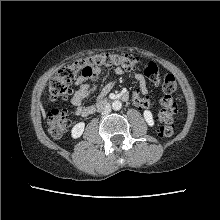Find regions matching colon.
<instances>
[{
  "mask_svg": "<svg viewBox=\"0 0 220 220\" xmlns=\"http://www.w3.org/2000/svg\"><path fill=\"white\" fill-rule=\"evenodd\" d=\"M139 63V58L132 54L118 53L95 54L75 60L71 64L59 68L51 78L48 85L49 99L52 102L67 99L72 94L71 85L74 79L79 75L88 74L90 70L116 66L132 71L139 66ZM144 73L151 82L161 84L164 95L160 99L159 134L161 137H170L175 131L173 122L177 112V104L173 99V94L178 89L176 78L169 73L160 76L158 65L152 61L145 65ZM48 119L51 135L60 138L70 125L71 112L67 109L54 108L49 112Z\"/></svg>",
  "mask_w": 220,
  "mask_h": 220,
  "instance_id": "5ec220e1",
  "label": "colon"
}]
</instances>
